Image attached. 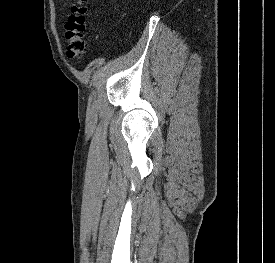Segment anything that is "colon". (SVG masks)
Wrapping results in <instances>:
<instances>
[{"instance_id": "1", "label": "colon", "mask_w": 275, "mask_h": 263, "mask_svg": "<svg viewBox=\"0 0 275 263\" xmlns=\"http://www.w3.org/2000/svg\"><path fill=\"white\" fill-rule=\"evenodd\" d=\"M88 4V0H74L70 16L65 24L68 40L66 53L67 57L72 60H82L87 52Z\"/></svg>"}]
</instances>
